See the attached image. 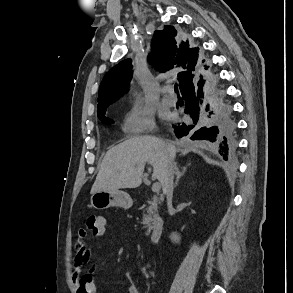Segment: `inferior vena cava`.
Returning <instances> with one entry per match:
<instances>
[{"mask_svg": "<svg viewBox=\"0 0 293 293\" xmlns=\"http://www.w3.org/2000/svg\"><path fill=\"white\" fill-rule=\"evenodd\" d=\"M174 173H175L174 164L172 162H169L167 166V171L162 183L163 192L166 194V197H167L168 209H171L172 207Z\"/></svg>", "mask_w": 293, "mask_h": 293, "instance_id": "602c4592", "label": "inferior vena cava"}]
</instances>
